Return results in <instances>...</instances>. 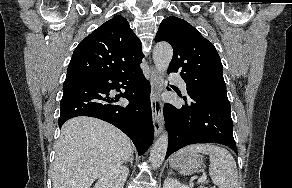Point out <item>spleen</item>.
Wrapping results in <instances>:
<instances>
[{"instance_id": "spleen-1", "label": "spleen", "mask_w": 292, "mask_h": 188, "mask_svg": "<svg viewBox=\"0 0 292 188\" xmlns=\"http://www.w3.org/2000/svg\"><path fill=\"white\" fill-rule=\"evenodd\" d=\"M210 155L209 174L219 188H238V171L235 159L225 148L215 144H192L177 154L198 153Z\"/></svg>"}]
</instances>
